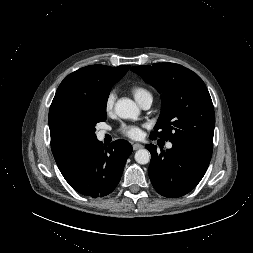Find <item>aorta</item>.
Here are the masks:
<instances>
[{"instance_id":"762f6f07","label":"aorta","mask_w":253,"mask_h":253,"mask_svg":"<svg viewBox=\"0 0 253 253\" xmlns=\"http://www.w3.org/2000/svg\"><path fill=\"white\" fill-rule=\"evenodd\" d=\"M115 112L123 119H137L140 114L138 106L130 99L119 100L115 104ZM135 160L139 164H147L150 161V152L146 149H139L135 153Z\"/></svg>"}]
</instances>
